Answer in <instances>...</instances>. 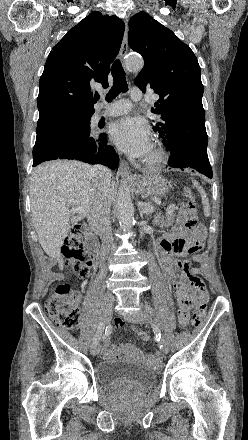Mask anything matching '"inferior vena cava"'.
<instances>
[{"instance_id": "602c4592", "label": "inferior vena cava", "mask_w": 248, "mask_h": 440, "mask_svg": "<svg viewBox=\"0 0 248 440\" xmlns=\"http://www.w3.org/2000/svg\"><path fill=\"white\" fill-rule=\"evenodd\" d=\"M93 176L103 184L112 181L111 170L102 165H96L92 169ZM110 207L111 201L106 194H99L87 215V221L92 230L100 236L102 240L101 258L105 259L109 253L114 238L110 227Z\"/></svg>"}]
</instances>
